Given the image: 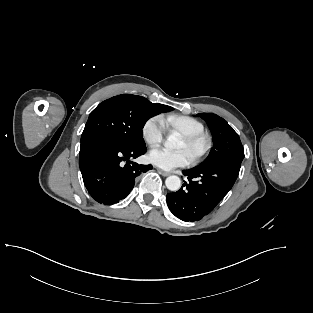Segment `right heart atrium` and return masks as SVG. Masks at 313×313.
<instances>
[{"label":"right heart atrium","instance_id":"right-heart-atrium-1","mask_svg":"<svg viewBox=\"0 0 313 313\" xmlns=\"http://www.w3.org/2000/svg\"><path fill=\"white\" fill-rule=\"evenodd\" d=\"M165 126L160 116H153L146 120L142 127L144 141L151 147L160 145L164 139Z\"/></svg>","mask_w":313,"mask_h":313}]
</instances>
